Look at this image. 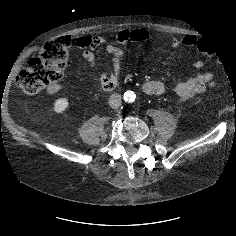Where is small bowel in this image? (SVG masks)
Wrapping results in <instances>:
<instances>
[{
  "label": "small bowel",
  "mask_w": 236,
  "mask_h": 236,
  "mask_svg": "<svg viewBox=\"0 0 236 236\" xmlns=\"http://www.w3.org/2000/svg\"><path fill=\"white\" fill-rule=\"evenodd\" d=\"M150 39V34L144 29L129 30L123 29L116 36V43H108L105 36H80L75 39V45L79 48H85L82 52V58L91 66L94 77L100 82L102 88L106 91L113 90L120 81L121 75V59L123 51L120 45L129 42H143ZM202 40L196 35L189 34L182 38H174L171 41L172 46H201ZM106 45V52L110 55V62L113 67L112 74L100 72L96 67V59L93 50ZM204 62L198 60L193 63V68L198 70L203 68ZM215 84V77L212 72L199 73L191 77H187L171 86L180 100H189L197 95L206 92L208 87ZM59 84L48 86L47 93L55 94L58 92ZM169 85L159 80H151L143 82L140 89L148 95H158L165 92Z\"/></svg>",
  "instance_id": "1"
}]
</instances>
